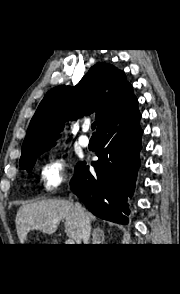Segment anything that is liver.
I'll list each match as a JSON object with an SVG mask.
<instances>
[{"mask_svg":"<svg viewBox=\"0 0 180 294\" xmlns=\"http://www.w3.org/2000/svg\"><path fill=\"white\" fill-rule=\"evenodd\" d=\"M86 212V211H85ZM90 222L96 218L90 213ZM65 220V232L76 244L82 242L81 218L76 206L63 199H48L22 205L16 215L15 224L18 238L24 244L31 230L53 234L58 224Z\"/></svg>","mask_w":180,"mask_h":294,"instance_id":"liver-1","label":"liver"}]
</instances>
